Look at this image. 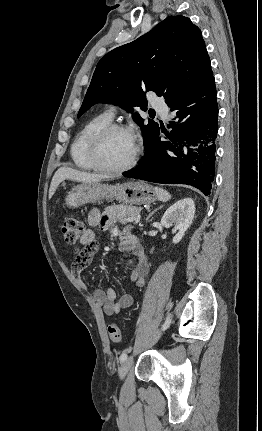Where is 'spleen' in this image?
Here are the masks:
<instances>
[{
    "label": "spleen",
    "instance_id": "3e777b00",
    "mask_svg": "<svg viewBox=\"0 0 262 431\" xmlns=\"http://www.w3.org/2000/svg\"><path fill=\"white\" fill-rule=\"evenodd\" d=\"M155 192H156L158 199L163 201V202H166L171 198V195L169 194V192H167L166 190H164L162 188L155 187Z\"/></svg>",
    "mask_w": 262,
    "mask_h": 431
}]
</instances>
